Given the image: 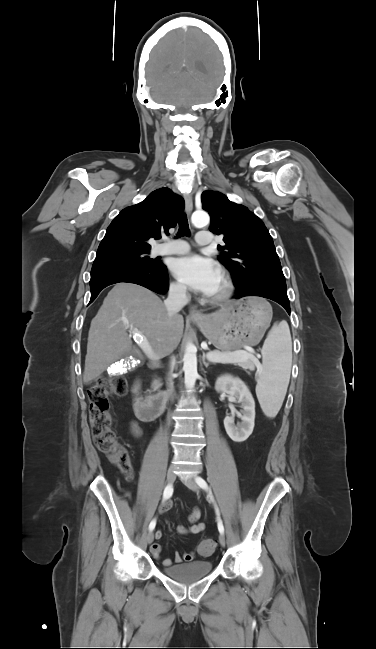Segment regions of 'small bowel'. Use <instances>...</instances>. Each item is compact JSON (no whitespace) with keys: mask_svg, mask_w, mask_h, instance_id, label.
Instances as JSON below:
<instances>
[{"mask_svg":"<svg viewBox=\"0 0 376 649\" xmlns=\"http://www.w3.org/2000/svg\"><path fill=\"white\" fill-rule=\"evenodd\" d=\"M129 430L132 436L134 437H139L141 435V430L136 422H131L129 426ZM125 495L127 497L130 496L129 492H126ZM173 506L172 501H167L164 503L163 508L165 510L171 509ZM201 517V511L198 508H194L189 515V521L191 523L190 526H179L178 527V532L180 534H199L203 532L205 529V524L203 522H198V520ZM162 537V532L157 531L155 533V538L160 539ZM151 552L152 555L154 556L155 559H160L161 557V545L158 542H155L151 545ZM195 553L193 551L181 554L180 552H176L174 556V562L175 563H182V562H190L194 559ZM163 566H170L172 564V560L169 558H165L161 561Z\"/></svg>","mask_w":376,"mask_h":649,"instance_id":"c3829d8e","label":"small bowel"}]
</instances>
